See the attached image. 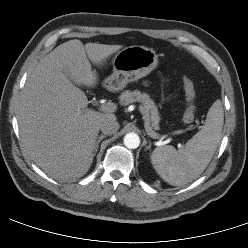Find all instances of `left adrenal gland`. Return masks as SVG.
Here are the masks:
<instances>
[{"mask_svg": "<svg viewBox=\"0 0 248 248\" xmlns=\"http://www.w3.org/2000/svg\"><path fill=\"white\" fill-rule=\"evenodd\" d=\"M151 148V142L149 141V145L146 147V150H149Z\"/></svg>", "mask_w": 248, "mask_h": 248, "instance_id": "a2214340", "label": "left adrenal gland"}]
</instances>
